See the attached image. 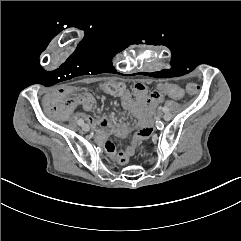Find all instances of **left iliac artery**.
Returning <instances> with one entry per match:
<instances>
[{
  "label": "left iliac artery",
  "mask_w": 241,
  "mask_h": 241,
  "mask_svg": "<svg viewBox=\"0 0 241 241\" xmlns=\"http://www.w3.org/2000/svg\"><path fill=\"white\" fill-rule=\"evenodd\" d=\"M162 109H163V112H165V113L168 112V110H169V109H168L167 107H165V106H164Z\"/></svg>",
  "instance_id": "left-iliac-artery-1"
}]
</instances>
